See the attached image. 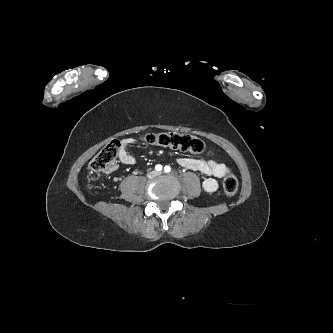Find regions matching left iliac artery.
Listing matches in <instances>:
<instances>
[{"mask_svg": "<svg viewBox=\"0 0 333 333\" xmlns=\"http://www.w3.org/2000/svg\"><path fill=\"white\" fill-rule=\"evenodd\" d=\"M164 171H165L166 173H169V172L171 171L170 166H165Z\"/></svg>", "mask_w": 333, "mask_h": 333, "instance_id": "left-iliac-artery-1", "label": "left iliac artery"}]
</instances>
